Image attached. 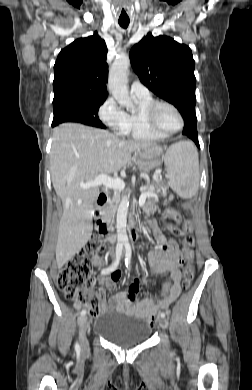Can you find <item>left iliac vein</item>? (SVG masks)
Returning a JSON list of instances; mask_svg holds the SVG:
<instances>
[{
	"label": "left iliac vein",
	"instance_id": "left-iliac-vein-1",
	"mask_svg": "<svg viewBox=\"0 0 252 390\" xmlns=\"http://www.w3.org/2000/svg\"><path fill=\"white\" fill-rule=\"evenodd\" d=\"M158 323H159V326L162 328H167V326H168V321L165 318H159Z\"/></svg>",
	"mask_w": 252,
	"mask_h": 390
}]
</instances>
